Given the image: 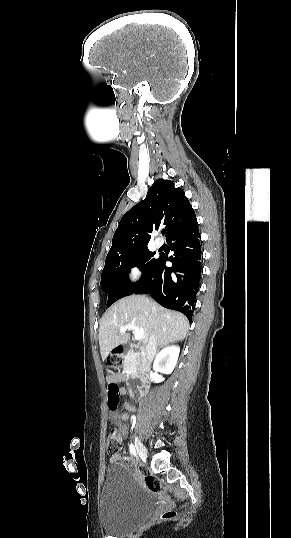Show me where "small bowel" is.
I'll use <instances>...</instances> for the list:
<instances>
[{
	"instance_id": "obj_1",
	"label": "small bowel",
	"mask_w": 291,
	"mask_h": 538,
	"mask_svg": "<svg viewBox=\"0 0 291 538\" xmlns=\"http://www.w3.org/2000/svg\"><path fill=\"white\" fill-rule=\"evenodd\" d=\"M126 380H127V377L125 375H123V374L110 375L107 378L108 384L114 383V384H117V385H118L119 382H124ZM119 395L120 396H125L126 395V390L123 387H119ZM124 406L128 411H134L135 410L134 406L129 402H125ZM109 419L113 423V425L115 426V428H116L118 434L120 435V437L122 439H124L125 436L128 433V427L125 424V421H127L129 419V415L127 413L118 414L117 412L112 411L109 414ZM110 461L112 463L120 462V463L125 464L126 466L131 467V461L124 455L117 454L115 456H111Z\"/></svg>"
}]
</instances>
